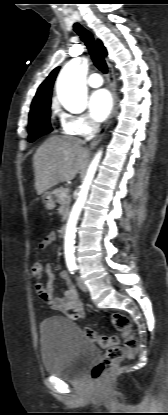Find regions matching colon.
Here are the masks:
<instances>
[{
    "label": "colon",
    "instance_id": "5ec220e1",
    "mask_svg": "<svg viewBox=\"0 0 168 415\" xmlns=\"http://www.w3.org/2000/svg\"><path fill=\"white\" fill-rule=\"evenodd\" d=\"M45 266L43 259H36L29 266L30 281L32 283H42L44 280L42 269ZM112 324L121 332L123 336V345H119V340L115 336H100L92 328L85 327L83 335L91 342L97 343L105 352L101 359L93 366L91 378L99 380L104 373L116 365L119 361L127 356H131L137 347V341L131 332V322L128 317L120 313H114L111 316Z\"/></svg>",
    "mask_w": 168,
    "mask_h": 415
}]
</instances>
